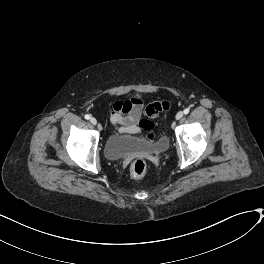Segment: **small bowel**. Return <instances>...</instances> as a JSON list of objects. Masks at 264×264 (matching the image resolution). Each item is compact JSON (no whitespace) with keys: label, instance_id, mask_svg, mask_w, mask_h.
<instances>
[{"label":"small bowel","instance_id":"c3829d8e","mask_svg":"<svg viewBox=\"0 0 264 264\" xmlns=\"http://www.w3.org/2000/svg\"><path fill=\"white\" fill-rule=\"evenodd\" d=\"M142 110L143 101L138 97L119 101L111 107L109 121L119 133L140 135L146 121L141 119Z\"/></svg>","mask_w":264,"mask_h":264}]
</instances>
